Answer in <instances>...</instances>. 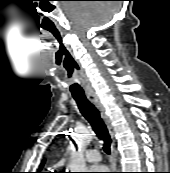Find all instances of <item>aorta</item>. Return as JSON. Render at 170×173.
<instances>
[{"label":"aorta","instance_id":"1","mask_svg":"<svg viewBox=\"0 0 170 173\" xmlns=\"http://www.w3.org/2000/svg\"><path fill=\"white\" fill-rule=\"evenodd\" d=\"M91 138V134L88 130H84L83 132L75 135V142L77 145L82 148L85 147ZM69 170L70 172H86V163L84 159V155L81 150L75 151L72 150L70 156V163H69Z\"/></svg>","mask_w":170,"mask_h":173}]
</instances>
